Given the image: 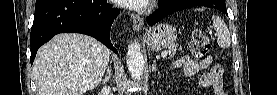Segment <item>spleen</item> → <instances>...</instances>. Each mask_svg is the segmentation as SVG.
Returning a JSON list of instances; mask_svg holds the SVG:
<instances>
[{
    "instance_id": "obj_1",
    "label": "spleen",
    "mask_w": 277,
    "mask_h": 95,
    "mask_svg": "<svg viewBox=\"0 0 277 95\" xmlns=\"http://www.w3.org/2000/svg\"><path fill=\"white\" fill-rule=\"evenodd\" d=\"M213 27L216 30L217 42L221 48H229L231 44L230 33L224 21L218 16H212Z\"/></svg>"
}]
</instances>
